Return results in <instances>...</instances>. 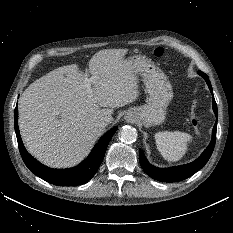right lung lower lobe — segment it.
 Segmentation results:
<instances>
[{
	"instance_id": "1",
	"label": "right lung lower lobe",
	"mask_w": 233,
	"mask_h": 233,
	"mask_svg": "<svg viewBox=\"0 0 233 233\" xmlns=\"http://www.w3.org/2000/svg\"><path fill=\"white\" fill-rule=\"evenodd\" d=\"M14 119V127L20 154L26 166L31 172H33L35 175L42 178L43 180L47 181L48 183L60 186H76L89 181L101 165L106 148L112 136L117 130V127H113L110 131L104 134L99 142L95 145L90 155L78 166L69 169H52L39 163L25 149L18 129L17 106L14 111Z\"/></svg>"
}]
</instances>
